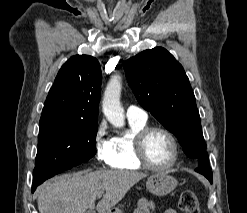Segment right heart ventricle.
<instances>
[{
  "mask_svg": "<svg viewBox=\"0 0 247 213\" xmlns=\"http://www.w3.org/2000/svg\"><path fill=\"white\" fill-rule=\"evenodd\" d=\"M145 126L146 121L129 120L128 131L111 140L113 152L111 167L132 171L142 168L134 157L133 140L135 134Z\"/></svg>",
  "mask_w": 247,
  "mask_h": 213,
  "instance_id": "obj_1",
  "label": "right heart ventricle"
}]
</instances>
